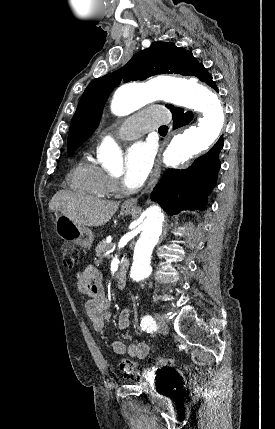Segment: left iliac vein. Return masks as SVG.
<instances>
[{
  "mask_svg": "<svg viewBox=\"0 0 275 429\" xmlns=\"http://www.w3.org/2000/svg\"><path fill=\"white\" fill-rule=\"evenodd\" d=\"M155 322L160 333L166 334L168 332L166 320L161 314H155Z\"/></svg>",
  "mask_w": 275,
  "mask_h": 429,
  "instance_id": "1",
  "label": "left iliac vein"
}]
</instances>
